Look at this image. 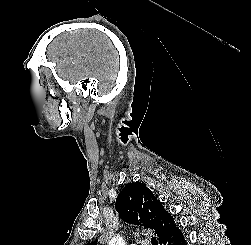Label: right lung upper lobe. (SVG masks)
<instances>
[{"instance_id":"cb5924a9","label":"right lung upper lobe","mask_w":251,"mask_h":245,"mask_svg":"<svg viewBox=\"0 0 251 245\" xmlns=\"http://www.w3.org/2000/svg\"><path fill=\"white\" fill-rule=\"evenodd\" d=\"M115 207L124 222L155 230L160 244L178 230L172 216L143 183H128L119 193ZM87 245H97V241Z\"/></svg>"}]
</instances>
